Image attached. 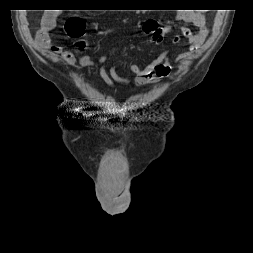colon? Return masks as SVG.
I'll list each match as a JSON object with an SVG mask.
<instances>
[{
	"label": "colon",
	"instance_id": "obj_1",
	"mask_svg": "<svg viewBox=\"0 0 253 253\" xmlns=\"http://www.w3.org/2000/svg\"><path fill=\"white\" fill-rule=\"evenodd\" d=\"M66 31L67 33L74 38H78L81 37L84 34V30H85V22L83 19L78 18V17H74L69 19L66 22ZM81 47L84 46V43L81 42L79 44Z\"/></svg>",
	"mask_w": 253,
	"mask_h": 253
}]
</instances>
